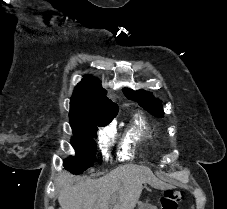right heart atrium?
<instances>
[{"label":"right heart atrium","mask_w":227,"mask_h":209,"mask_svg":"<svg viewBox=\"0 0 227 209\" xmlns=\"http://www.w3.org/2000/svg\"><path fill=\"white\" fill-rule=\"evenodd\" d=\"M115 131L112 126L100 129L99 131V146L103 154H107L113 144Z\"/></svg>","instance_id":"d8ad5b80"}]
</instances>
